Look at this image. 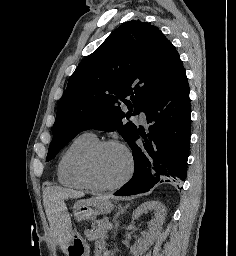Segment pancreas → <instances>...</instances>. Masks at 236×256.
I'll return each mask as SVG.
<instances>
[{
	"mask_svg": "<svg viewBox=\"0 0 236 256\" xmlns=\"http://www.w3.org/2000/svg\"><path fill=\"white\" fill-rule=\"evenodd\" d=\"M95 224L96 232H85V236L88 238L89 242L98 240V238H107L108 230H112L111 226H109L110 222H108V218H105V220H97Z\"/></svg>",
	"mask_w": 236,
	"mask_h": 256,
	"instance_id": "obj_1",
	"label": "pancreas"
}]
</instances>
